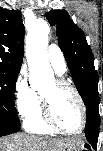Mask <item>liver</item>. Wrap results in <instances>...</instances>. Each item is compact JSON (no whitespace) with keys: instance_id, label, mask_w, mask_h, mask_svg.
Masks as SVG:
<instances>
[{"instance_id":"1","label":"liver","mask_w":103,"mask_h":151,"mask_svg":"<svg viewBox=\"0 0 103 151\" xmlns=\"http://www.w3.org/2000/svg\"><path fill=\"white\" fill-rule=\"evenodd\" d=\"M79 140L14 134L0 140V151H59Z\"/></svg>"}]
</instances>
